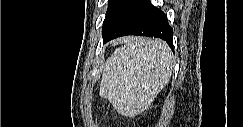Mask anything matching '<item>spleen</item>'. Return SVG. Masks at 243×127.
<instances>
[{
    "label": "spleen",
    "mask_w": 243,
    "mask_h": 127,
    "mask_svg": "<svg viewBox=\"0 0 243 127\" xmlns=\"http://www.w3.org/2000/svg\"><path fill=\"white\" fill-rule=\"evenodd\" d=\"M172 69L166 43L143 38L129 41L105 62L99 95L123 115L138 113L168 83Z\"/></svg>",
    "instance_id": "obj_1"
}]
</instances>
